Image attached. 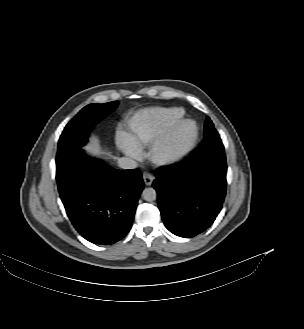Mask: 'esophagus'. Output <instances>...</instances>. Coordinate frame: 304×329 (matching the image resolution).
Here are the masks:
<instances>
[{
	"label": "esophagus",
	"instance_id": "esophagus-1",
	"mask_svg": "<svg viewBox=\"0 0 304 329\" xmlns=\"http://www.w3.org/2000/svg\"><path fill=\"white\" fill-rule=\"evenodd\" d=\"M143 180L146 186H150L153 183L154 177L149 173H144Z\"/></svg>",
	"mask_w": 304,
	"mask_h": 329
}]
</instances>
